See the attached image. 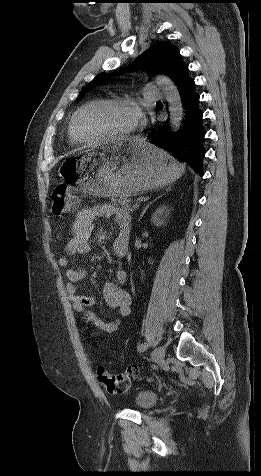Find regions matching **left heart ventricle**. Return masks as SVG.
Wrapping results in <instances>:
<instances>
[{"instance_id": "1", "label": "left heart ventricle", "mask_w": 261, "mask_h": 476, "mask_svg": "<svg viewBox=\"0 0 261 476\" xmlns=\"http://www.w3.org/2000/svg\"><path fill=\"white\" fill-rule=\"evenodd\" d=\"M136 123L133 110L114 104H98L84 110L78 119V128L87 138L116 134Z\"/></svg>"}]
</instances>
